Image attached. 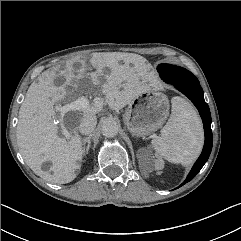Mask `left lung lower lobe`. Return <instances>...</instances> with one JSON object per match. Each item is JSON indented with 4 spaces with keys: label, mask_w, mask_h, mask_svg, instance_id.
<instances>
[{
    "label": "left lung lower lobe",
    "mask_w": 241,
    "mask_h": 241,
    "mask_svg": "<svg viewBox=\"0 0 241 241\" xmlns=\"http://www.w3.org/2000/svg\"><path fill=\"white\" fill-rule=\"evenodd\" d=\"M163 79V78H162ZM167 83L174 84V86L183 94H185L196 106L199 110L201 118L203 120L204 125V132H205V144L203 147V151L195 162L192 170L190 171L189 175L185 182L192 180L201 168L204 166L208 157L212 150V131H211V115L210 110L207 103L204 100L203 90L200 86V83L197 80L190 81V82H173L166 79H163Z\"/></svg>",
    "instance_id": "left-lung-lower-lobe-1"
}]
</instances>
